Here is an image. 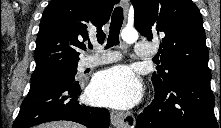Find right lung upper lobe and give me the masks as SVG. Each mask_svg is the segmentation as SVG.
<instances>
[{"mask_svg": "<svg viewBox=\"0 0 221 128\" xmlns=\"http://www.w3.org/2000/svg\"><path fill=\"white\" fill-rule=\"evenodd\" d=\"M119 0H51L43 12L36 40V68L32 76L47 75L77 65L79 49L96 34L104 40L102 26Z\"/></svg>", "mask_w": 221, "mask_h": 128, "instance_id": "cb5924a9", "label": "right lung upper lobe"}]
</instances>
